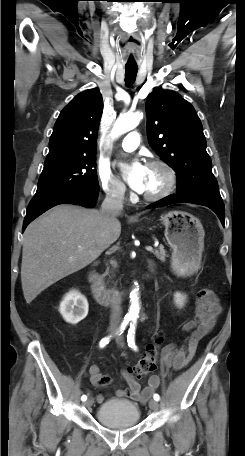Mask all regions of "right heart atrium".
Segmentation results:
<instances>
[{
  "label": "right heart atrium",
  "mask_w": 245,
  "mask_h": 456,
  "mask_svg": "<svg viewBox=\"0 0 245 456\" xmlns=\"http://www.w3.org/2000/svg\"><path fill=\"white\" fill-rule=\"evenodd\" d=\"M97 175L101 189L107 197L116 201H124L127 196L125 185L110 170L105 167L97 168Z\"/></svg>",
  "instance_id": "1"
}]
</instances>
